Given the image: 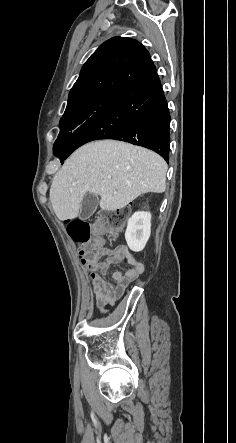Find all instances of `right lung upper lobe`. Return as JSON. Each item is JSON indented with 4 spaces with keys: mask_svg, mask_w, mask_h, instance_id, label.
I'll list each match as a JSON object with an SVG mask.
<instances>
[{
    "mask_svg": "<svg viewBox=\"0 0 236 443\" xmlns=\"http://www.w3.org/2000/svg\"><path fill=\"white\" fill-rule=\"evenodd\" d=\"M149 52L137 40L114 37L104 42L83 65L67 107L99 94L122 91L152 66Z\"/></svg>",
    "mask_w": 236,
    "mask_h": 443,
    "instance_id": "cb5924a9",
    "label": "right lung upper lobe"
}]
</instances>
